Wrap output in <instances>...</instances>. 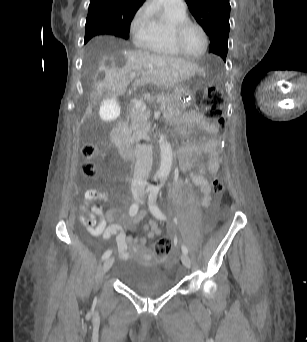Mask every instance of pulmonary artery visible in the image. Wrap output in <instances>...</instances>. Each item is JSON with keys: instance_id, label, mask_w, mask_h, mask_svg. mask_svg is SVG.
I'll list each match as a JSON object with an SVG mask.
<instances>
[{"instance_id": "e3ab8cb5", "label": "pulmonary artery", "mask_w": 307, "mask_h": 342, "mask_svg": "<svg viewBox=\"0 0 307 342\" xmlns=\"http://www.w3.org/2000/svg\"><path fill=\"white\" fill-rule=\"evenodd\" d=\"M164 10L183 12L187 9L186 1H160Z\"/></svg>"}]
</instances>
